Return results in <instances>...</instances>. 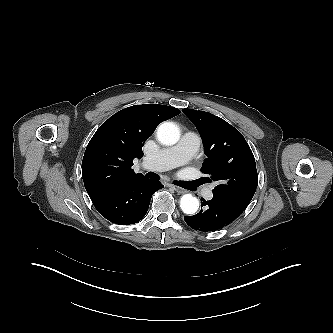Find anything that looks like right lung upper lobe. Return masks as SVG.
Wrapping results in <instances>:
<instances>
[{
  "label": "right lung upper lobe",
  "instance_id": "1",
  "mask_svg": "<svg viewBox=\"0 0 333 333\" xmlns=\"http://www.w3.org/2000/svg\"><path fill=\"white\" fill-rule=\"evenodd\" d=\"M180 113L174 107L144 104L125 108L106 120L87 145L82 161L91 200L144 179L131 168L133 159L143 156L142 147L158 124Z\"/></svg>",
  "mask_w": 333,
  "mask_h": 333
}]
</instances>
